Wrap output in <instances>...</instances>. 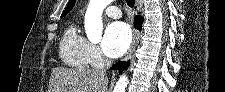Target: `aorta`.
<instances>
[{
  "label": "aorta",
  "mask_w": 225,
  "mask_h": 92,
  "mask_svg": "<svg viewBox=\"0 0 225 92\" xmlns=\"http://www.w3.org/2000/svg\"><path fill=\"white\" fill-rule=\"evenodd\" d=\"M112 0H90L85 17V31L90 41H99L103 31L102 12ZM128 85V77L123 74L120 76L114 92H125Z\"/></svg>",
  "instance_id": "762f6f07"
}]
</instances>
